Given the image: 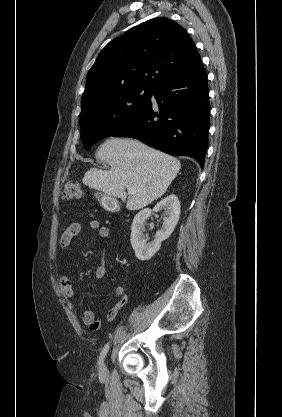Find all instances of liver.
Returning a JSON list of instances; mask_svg holds the SVG:
<instances>
[{"label": "liver", "mask_w": 282, "mask_h": 417, "mask_svg": "<svg viewBox=\"0 0 282 417\" xmlns=\"http://www.w3.org/2000/svg\"><path fill=\"white\" fill-rule=\"evenodd\" d=\"M98 158L111 168H89L82 178L83 184L119 196L123 202L128 198L129 211H139L162 196L181 166L175 156L150 148L136 138L111 136L103 142Z\"/></svg>", "instance_id": "liver-1"}]
</instances>
